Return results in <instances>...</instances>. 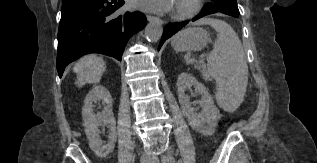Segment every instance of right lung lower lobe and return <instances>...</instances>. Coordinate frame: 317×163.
I'll list each match as a JSON object with an SVG mask.
<instances>
[{
    "label": "right lung lower lobe",
    "instance_id": "1",
    "mask_svg": "<svg viewBox=\"0 0 317 163\" xmlns=\"http://www.w3.org/2000/svg\"><path fill=\"white\" fill-rule=\"evenodd\" d=\"M123 0H84L62 7L58 30L57 71L88 53H101L121 60L128 39L142 30L141 12H120Z\"/></svg>",
    "mask_w": 317,
    "mask_h": 163
}]
</instances>
